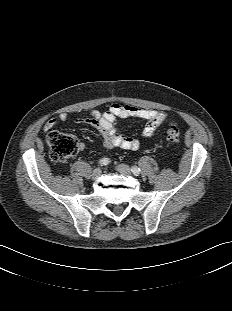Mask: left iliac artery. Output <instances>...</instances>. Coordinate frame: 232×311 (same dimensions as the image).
<instances>
[{
    "mask_svg": "<svg viewBox=\"0 0 232 311\" xmlns=\"http://www.w3.org/2000/svg\"><path fill=\"white\" fill-rule=\"evenodd\" d=\"M131 171L133 172L134 175H139L141 170L137 166H133Z\"/></svg>",
    "mask_w": 232,
    "mask_h": 311,
    "instance_id": "left-iliac-artery-1",
    "label": "left iliac artery"
}]
</instances>
